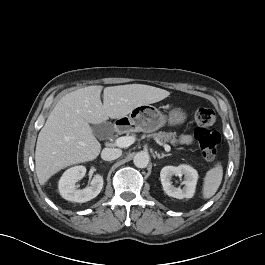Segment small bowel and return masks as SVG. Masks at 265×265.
Segmentation results:
<instances>
[{
    "label": "small bowel",
    "mask_w": 265,
    "mask_h": 265,
    "mask_svg": "<svg viewBox=\"0 0 265 265\" xmlns=\"http://www.w3.org/2000/svg\"><path fill=\"white\" fill-rule=\"evenodd\" d=\"M180 142L182 144H191L192 143V137L190 135H183L180 137Z\"/></svg>",
    "instance_id": "1"
}]
</instances>
